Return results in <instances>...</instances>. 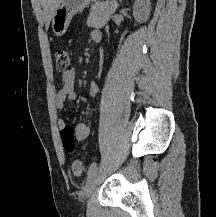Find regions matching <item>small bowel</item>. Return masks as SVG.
Instances as JSON below:
<instances>
[{
    "mask_svg": "<svg viewBox=\"0 0 216 217\" xmlns=\"http://www.w3.org/2000/svg\"><path fill=\"white\" fill-rule=\"evenodd\" d=\"M93 41L98 42L101 40V34L98 30H93L90 34ZM98 89V82L93 81L89 88V96L93 97ZM77 98L75 87V70L73 68L64 71L61 75V87L58 90L54 105L57 110H62L67 100H75ZM57 126L62 134V131L66 127V123L63 119L57 120ZM90 134V126L85 122H80L74 129V138L77 141L85 140Z\"/></svg>",
    "mask_w": 216,
    "mask_h": 217,
    "instance_id": "c3829d8e",
    "label": "small bowel"
}]
</instances>
